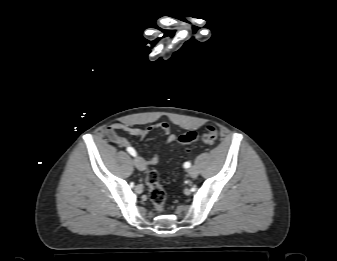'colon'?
I'll return each mask as SVG.
<instances>
[{"mask_svg": "<svg viewBox=\"0 0 337 261\" xmlns=\"http://www.w3.org/2000/svg\"><path fill=\"white\" fill-rule=\"evenodd\" d=\"M218 130L215 126L208 125L205 131L197 133L194 131L187 132L179 137V143L183 146L190 145L195 142L211 144L216 141ZM145 182L149 189V197L157 212H162L166 201V193L162 188L159 175L155 170H149L145 176Z\"/></svg>", "mask_w": 337, "mask_h": 261, "instance_id": "1", "label": "colon"}]
</instances>
